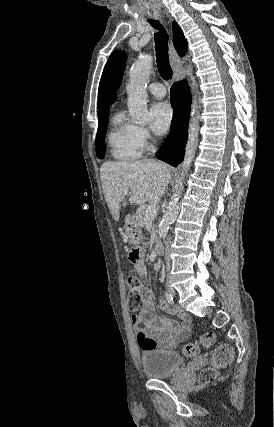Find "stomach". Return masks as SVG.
I'll return each mask as SVG.
<instances>
[{
  "label": "stomach",
  "instance_id": "0dacf381",
  "mask_svg": "<svg viewBox=\"0 0 274 427\" xmlns=\"http://www.w3.org/2000/svg\"><path fill=\"white\" fill-rule=\"evenodd\" d=\"M125 235H127L128 243H141L142 231L133 215H127L124 223Z\"/></svg>",
  "mask_w": 274,
  "mask_h": 427
}]
</instances>
